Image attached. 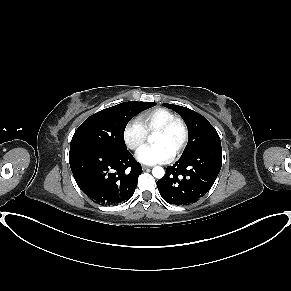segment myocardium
Listing matches in <instances>:
<instances>
[{
  "label": "myocardium",
  "instance_id": "myocardium-1",
  "mask_svg": "<svg viewBox=\"0 0 291 291\" xmlns=\"http://www.w3.org/2000/svg\"><path fill=\"white\" fill-rule=\"evenodd\" d=\"M175 127H179L182 132V137L178 145L176 146L173 157L178 156L181 154V152L184 150V148L187 145L188 139H189V129L186 124V122L181 118H174L165 124H163L161 127H159L154 133L155 134H168L170 133Z\"/></svg>",
  "mask_w": 291,
  "mask_h": 291
}]
</instances>
